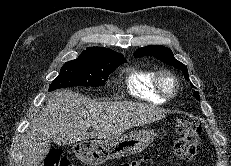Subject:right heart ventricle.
<instances>
[{"label": "right heart ventricle", "mask_w": 231, "mask_h": 166, "mask_svg": "<svg viewBox=\"0 0 231 166\" xmlns=\"http://www.w3.org/2000/svg\"><path fill=\"white\" fill-rule=\"evenodd\" d=\"M156 71L150 68H132L126 75V87L129 94L138 100L163 104L165 99L158 96L153 88Z\"/></svg>", "instance_id": "e07e8e85"}]
</instances>
